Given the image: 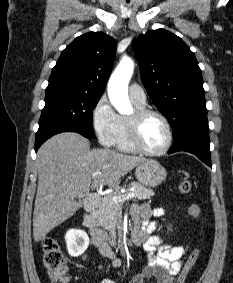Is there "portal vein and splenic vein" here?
I'll use <instances>...</instances> for the list:
<instances>
[{
    "label": "portal vein and splenic vein",
    "instance_id": "obj_1",
    "mask_svg": "<svg viewBox=\"0 0 233 283\" xmlns=\"http://www.w3.org/2000/svg\"><path fill=\"white\" fill-rule=\"evenodd\" d=\"M101 173L100 172H94L93 174H92V176L93 177H96V176H98V175H100ZM135 196V193L134 192H130V193H128V194H125V195H115V196H113L112 198H113V200L115 201V202H123V201H125V200H127V199H131V198H133Z\"/></svg>",
    "mask_w": 233,
    "mask_h": 283
}]
</instances>
